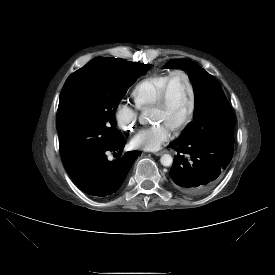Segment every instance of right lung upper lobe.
Wrapping results in <instances>:
<instances>
[{
    "instance_id": "obj_1",
    "label": "right lung upper lobe",
    "mask_w": 275,
    "mask_h": 275,
    "mask_svg": "<svg viewBox=\"0 0 275 275\" xmlns=\"http://www.w3.org/2000/svg\"><path fill=\"white\" fill-rule=\"evenodd\" d=\"M97 58H101V57H97ZM97 58H94L93 60H95V59H97ZM103 58H105V57H103ZM109 58H113V57H109ZM113 59H116V58H113Z\"/></svg>"
}]
</instances>
